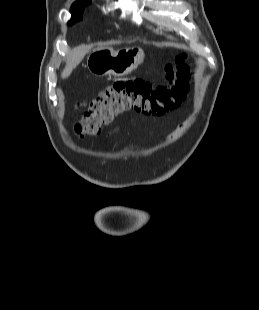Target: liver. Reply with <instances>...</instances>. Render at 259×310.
I'll return each instance as SVG.
<instances>
[{"label":"liver","mask_w":259,"mask_h":310,"mask_svg":"<svg viewBox=\"0 0 259 310\" xmlns=\"http://www.w3.org/2000/svg\"><path fill=\"white\" fill-rule=\"evenodd\" d=\"M90 48L86 45H80L76 47L71 53L70 57L66 61L65 68L61 73L63 79L68 78L72 71L79 65L86 53H88Z\"/></svg>","instance_id":"obj_1"}]
</instances>
